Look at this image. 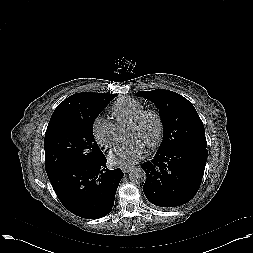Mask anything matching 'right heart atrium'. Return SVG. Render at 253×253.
Masks as SVG:
<instances>
[{
    "instance_id": "d8ad5b80",
    "label": "right heart atrium",
    "mask_w": 253,
    "mask_h": 253,
    "mask_svg": "<svg viewBox=\"0 0 253 253\" xmlns=\"http://www.w3.org/2000/svg\"><path fill=\"white\" fill-rule=\"evenodd\" d=\"M92 134L96 143L103 148L112 147L116 141L115 125L101 116L94 119Z\"/></svg>"
}]
</instances>
